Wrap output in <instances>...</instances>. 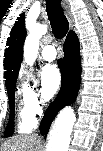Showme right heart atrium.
<instances>
[{
	"label": "right heart atrium",
	"mask_w": 103,
	"mask_h": 151,
	"mask_svg": "<svg viewBox=\"0 0 103 151\" xmlns=\"http://www.w3.org/2000/svg\"><path fill=\"white\" fill-rule=\"evenodd\" d=\"M21 100L24 111L30 117L36 119V117L41 114L44 107V101L35 86L23 82L21 85Z\"/></svg>",
	"instance_id": "d8ad5b80"
}]
</instances>
